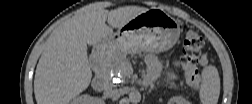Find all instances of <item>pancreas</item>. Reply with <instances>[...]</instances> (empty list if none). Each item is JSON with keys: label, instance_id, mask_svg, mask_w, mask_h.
<instances>
[{"label": "pancreas", "instance_id": "obj_1", "mask_svg": "<svg viewBox=\"0 0 252 104\" xmlns=\"http://www.w3.org/2000/svg\"><path fill=\"white\" fill-rule=\"evenodd\" d=\"M113 67H114V65H113L112 63H108V64L106 65V67L104 68V71H105V72H109L110 69H112Z\"/></svg>", "mask_w": 252, "mask_h": 104}]
</instances>
